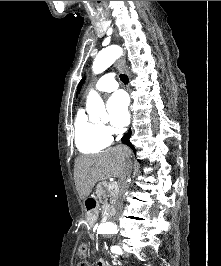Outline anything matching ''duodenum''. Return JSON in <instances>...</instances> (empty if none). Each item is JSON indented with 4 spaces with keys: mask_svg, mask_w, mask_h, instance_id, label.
Instances as JSON below:
<instances>
[{
    "mask_svg": "<svg viewBox=\"0 0 221 266\" xmlns=\"http://www.w3.org/2000/svg\"><path fill=\"white\" fill-rule=\"evenodd\" d=\"M86 209L88 213V224L92 226L95 222L96 215V201L93 197H89L86 200ZM108 216H115L116 207H108Z\"/></svg>",
    "mask_w": 221,
    "mask_h": 266,
    "instance_id": "duodenum-1",
    "label": "duodenum"
}]
</instances>
